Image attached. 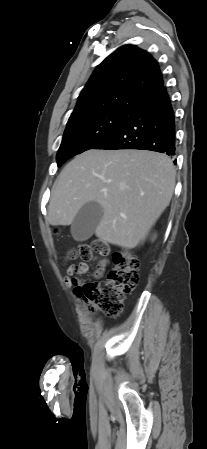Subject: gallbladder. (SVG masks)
<instances>
[{
  "instance_id": "1",
  "label": "gallbladder",
  "mask_w": 207,
  "mask_h": 449,
  "mask_svg": "<svg viewBox=\"0 0 207 449\" xmlns=\"http://www.w3.org/2000/svg\"><path fill=\"white\" fill-rule=\"evenodd\" d=\"M103 208L97 202L84 204L76 214L71 225V234L77 241L89 239L103 217Z\"/></svg>"
}]
</instances>
